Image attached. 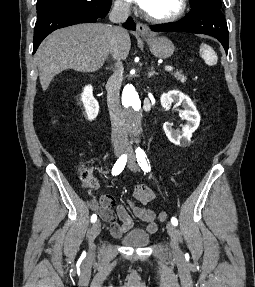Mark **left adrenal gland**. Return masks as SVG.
I'll return each mask as SVG.
<instances>
[{
    "label": "left adrenal gland",
    "mask_w": 255,
    "mask_h": 287,
    "mask_svg": "<svg viewBox=\"0 0 255 287\" xmlns=\"http://www.w3.org/2000/svg\"><path fill=\"white\" fill-rule=\"evenodd\" d=\"M153 74H156V72H154V68H153V66H151V70H150V72H148V78H151V76H153Z\"/></svg>",
    "instance_id": "a2214340"
}]
</instances>
